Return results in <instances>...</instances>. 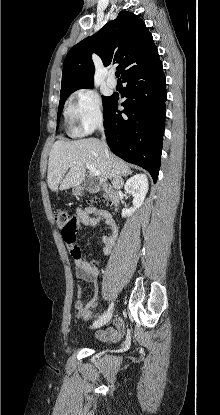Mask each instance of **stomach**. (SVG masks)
Returning a JSON list of instances; mask_svg holds the SVG:
<instances>
[{
  "label": "stomach",
  "mask_w": 220,
  "mask_h": 415,
  "mask_svg": "<svg viewBox=\"0 0 220 415\" xmlns=\"http://www.w3.org/2000/svg\"><path fill=\"white\" fill-rule=\"evenodd\" d=\"M80 193H81V188L76 187L75 189H73V194L79 195Z\"/></svg>",
  "instance_id": "0dacf381"
}]
</instances>
